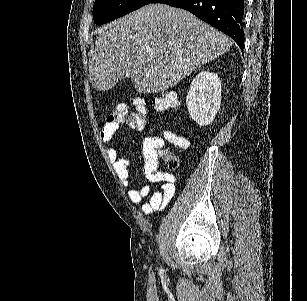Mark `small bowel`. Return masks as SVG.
I'll list each match as a JSON object with an SVG mask.
<instances>
[{"mask_svg":"<svg viewBox=\"0 0 307 301\" xmlns=\"http://www.w3.org/2000/svg\"><path fill=\"white\" fill-rule=\"evenodd\" d=\"M119 125L105 123L101 130L103 142H111ZM164 146V139L159 136H148L142 141V154L145 160L144 174L150 183L159 184V188L151 191L148 185L139 188H131L127 192L129 200L138 204L148 199L141 205V212L150 215L155 211L164 210L173 199L176 191V178L173 174L158 169L159 149ZM107 154L113 164L115 173L124 187L129 186L130 160L122 157L115 147H109Z\"/></svg>","mask_w":307,"mask_h":301,"instance_id":"c3829d8e","label":"small bowel"}]
</instances>
